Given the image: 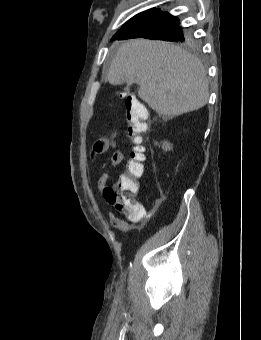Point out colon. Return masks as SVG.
<instances>
[{
    "instance_id": "obj_1",
    "label": "colon",
    "mask_w": 261,
    "mask_h": 340,
    "mask_svg": "<svg viewBox=\"0 0 261 340\" xmlns=\"http://www.w3.org/2000/svg\"><path fill=\"white\" fill-rule=\"evenodd\" d=\"M147 110L136 98L128 97L125 102V122L128 138L135 145L126 162L124 172L117 181L104 191V197L116 210L126 215L139 216L144 207L134 196L139 190V180L144 175L143 134L147 130Z\"/></svg>"
}]
</instances>
